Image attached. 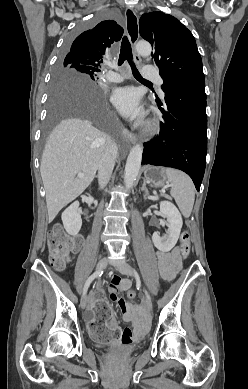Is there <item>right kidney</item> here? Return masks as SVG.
<instances>
[{
  "mask_svg": "<svg viewBox=\"0 0 248 389\" xmlns=\"http://www.w3.org/2000/svg\"><path fill=\"white\" fill-rule=\"evenodd\" d=\"M62 222L66 232L75 236L81 229L82 219L79 213V202L75 201L62 213Z\"/></svg>",
  "mask_w": 248,
  "mask_h": 389,
  "instance_id": "right-kidney-1",
  "label": "right kidney"
}]
</instances>
